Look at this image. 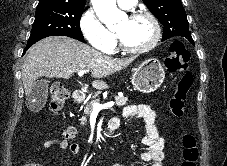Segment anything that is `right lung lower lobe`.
<instances>
[{
    "mask_svg": "<svg viewBox=\"0 0 227 166\" xmlns=\"http://www.w3.org/2000/svg\"><path fill=\"white\" fill-rule=\"evenodd\" d=\"M34 43L27 44L26 48L24 49L23 54L33 45Z\"/></svg>",
    "mask_w": 227,
    "mask_h": 166,
    "instance_id": "obj_1",
    "label": "right lung lower lobe"
}]
</instances>
